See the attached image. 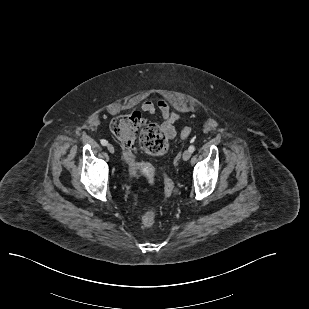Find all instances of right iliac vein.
Listing matches in <instances>:
<instances>
[{
    "label": "right iliac vein",
    "mask_w": 309,
    "mask_h": 309,
    "mask_svg": "<svg viewBox=\"0 0 309 309\" xmlns=\"http://www.w3.org/2000/svg\"><path fill=\"white\" fill-rule=\"evenodd\" d=\"M107 149H108V151H109L110 153H112V154L115 152V149H114L113 145H111V144H108V145H107Z\"/></svg>",
    "instance_id": "right-iliac-vein-1"
}]
</instances>
